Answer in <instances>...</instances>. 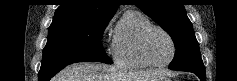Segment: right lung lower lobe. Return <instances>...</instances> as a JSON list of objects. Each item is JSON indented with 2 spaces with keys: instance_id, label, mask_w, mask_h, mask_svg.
I'll return each mask as SVG.
<instances>
[{
  "instance_id": "1",
  "label": "right lung lower lobe",
  "mask_w": 237,
  "mask_h": 81,
  "mask_svg": "<svg viewBox=\"0 0 237 81\" xmlns=\"http://www.w3.org/2000/svg\"><path fill=\"white\" fill-rule=\"evenodd\" d=\"M85 61L100 62L95 59H85V58L56 59V60L42 61L41 69L38 74V81H49L55 74H57L67 65Z\"/></svg>"
}]
</instances>
